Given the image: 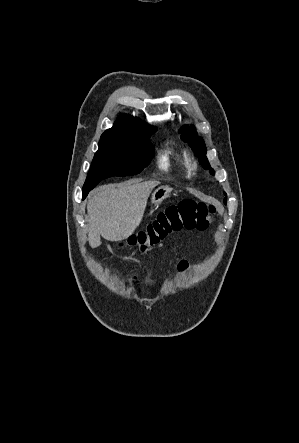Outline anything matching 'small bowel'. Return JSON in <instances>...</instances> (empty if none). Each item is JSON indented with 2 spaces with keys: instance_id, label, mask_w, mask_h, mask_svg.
<instances>
[{
  "instance_id": "c3829d8e",
  "label": "small bowel",
  "mask_w": 299,
  "mask_h": 443,
  "mask_svg": "<svg viewBox=\"0 0 299 443\" xmlns=\"http://www.w3.org/2000/svg\"><path fill=\"white\" fill-rule=\"evenodd\" d=\"M187 268H188V264L185 260H182L179 262V264H178L179 273H181V274L185 273ZM150 286H153V284H150Z\"/></svg>"
}]
</instances>
